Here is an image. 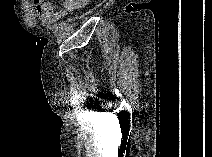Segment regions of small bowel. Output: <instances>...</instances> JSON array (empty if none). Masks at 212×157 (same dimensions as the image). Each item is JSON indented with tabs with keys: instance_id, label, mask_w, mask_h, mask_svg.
I'll return each instance as SVG.
<instances>
[{
	"instance_id": "small-bowel-1",
	"label": "small bowel",
	"mask_w": 212,
	"mask_h": 157,
	"mask_svg": "<svg viewBox=\"0 0 212 157\" xmlns=\"http://www.w3.org/2000/svg\"><path fill=\"white\" fill-rule=\"evenodd\" d=\"M55 1L40 0L35 5L36 15L44 23L52 24L59 21L67 13L74 12L86 5L84 0H64L62 9L58 10Z\"/></svg>"
}]
</instances>
